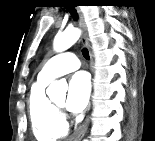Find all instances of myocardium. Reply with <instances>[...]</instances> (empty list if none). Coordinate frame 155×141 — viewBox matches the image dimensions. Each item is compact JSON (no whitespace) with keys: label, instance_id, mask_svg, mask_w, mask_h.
I'll list each match as a JSON object with an SVG mask.
<instances>
[{"label":"myocardium","instance_id":"myocardium-1","mask_svg":"<svg viewBox=\"0 0 155 141\" xmlns=\"http://www.w3.org/2000/svg\"><path fill=\"white\" fill-rule=\"evenodd\" d=\"M54 107L59 111L62 109V106H59L58 104L56 103H53Z\"/></svg>","mask_w":155,"mask_h":141}]
</instances>
